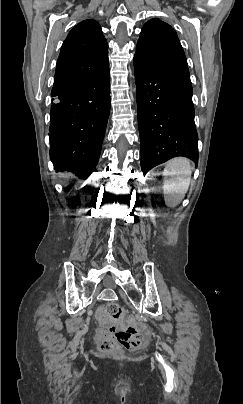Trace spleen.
Masks as SVG:
<instances>
[{
  "mask_svg": "<svg viewBox=\"0 0 243 404\" xmlns=\"http://www.w3.org/2000/svg\"><path fill=\"white\" fill-rule=\"evenodd\" d=\"M164 194H186L191 180V166L187 158H173L164 170Z\"/></svg>",
  "mask_w": 243,
  "mask_h": 404,
  "instance_id": "obj_1",
  "label": "spleen"
}]
</instances>
